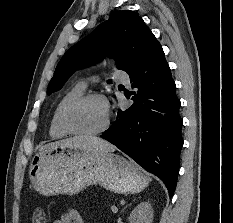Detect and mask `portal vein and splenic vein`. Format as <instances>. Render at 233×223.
Wrapping results in <instances>:
<instances>
[{"mask_svg": "<svg viewBox=\"0 0 233 223\" xmlns=\"http://www.w3.org/2000/svg\"><path fill=\"white\" fill-rule=\"evenodd\" d=\"M111 209H112L113 213H117V211H118L116 205H112Z\"/></svg>", "mask_w": 233, "mask_h": 223, "instance_id": "portal-vein-and-splenic-vein-1", "label": "portal vein and splenic vein"}]
</instances>
